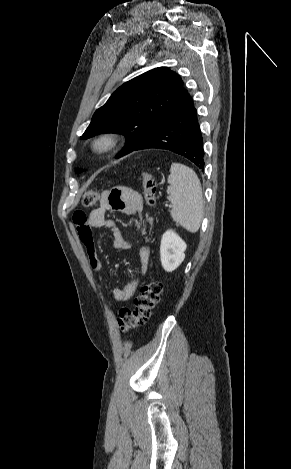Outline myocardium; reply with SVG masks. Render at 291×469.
Returning a JSON list of instances; mask_svg holds the SVG:
<instances>
[{"mask_svg": "<svg viewBox=\"0 0 291 469\" xmlns=\"http://www.w3.org/2000/svg\"><path fill=\"white\" fill-rule=\"evenodd\" d=\"M118 142L119 136L115 132H102L92 138L90 150L96 155H104L111 152Z\"/></svg>", "mask_w": 291, "mask_h": 469, "instance_id": "obj_1", "label": "myocardium"}]
</instances>
